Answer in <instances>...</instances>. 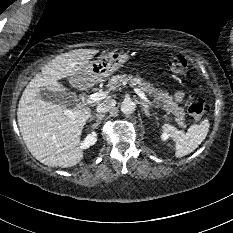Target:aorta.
I'll return each mask as SVG.
<instances>
[{
	"label": "aorta",
	"mask_w": 233,
	"mask_h": 233,
	"mask_svg": "<svg viewBox=\"0 0 233 233\" xmlns=\"http://www.w3.org/2000/svg\"><path fill=\"white\" fill-rule=\"evenodd\" d=\"M136 105L132 100H124L121 104V111L124 114H131L135 111Z\"/></svg>",
	"instance_id": "1"
}]
</instances>
